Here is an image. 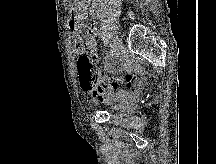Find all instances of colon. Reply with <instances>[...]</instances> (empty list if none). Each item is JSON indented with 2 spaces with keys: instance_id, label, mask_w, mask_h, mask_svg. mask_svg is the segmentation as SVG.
I'll return each mask as SVG.
<instances>
[{
  "instance_id": "colon-1",
  "label": "colon",
  "mask_w": 216,
  "mask_h": 164,
  "mask_svg": "<svg viewBox=\"0 0 216 164\" xmlns=\"http://www.w3.org/2000/svg\"><path fill=\"white\" fill-rule=\"evenodd\" d=\"M76 52L82 53L84 43L80 39L74 41ZM78 76L80 85L85 91H93L98 88L103 79L101 72L94 65L92 58L87 55H81L77 61Z\"/></svg>"
}]
</instances>
